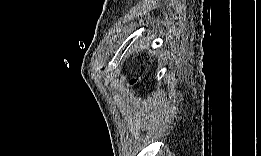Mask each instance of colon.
Returning a JSON list of instances; mask_svg holds the SVG:
<instances>
[{"mask_svg":"<svg viewBox=\"0 0 261 156\" xmlns=\"http://www.w3.org/2000/svg\"><path fill=\"white\" fill-rule=\"evenodd\" d=\"M136 82H137V81L132 80V81L130 82V85H131V86H134V85L136 84Z\"/></svg>","mask_w":261,"mask_h":156,"instance_id":"colon-1","label":"colon"}]
</instances>
